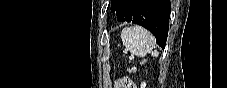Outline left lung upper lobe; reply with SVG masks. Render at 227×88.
<instances>
[{
  "label": "left lung upper lobe",
  "mask_w": 227,
  "mask_h": 88,
  "mask_svg": "<svg viewBox=\"0 0 227 88\" xmlns=\"http://www.w3.org/2000/svg\"><path fill=\"white\" fill-rule=\"evenodd\" d=\"M119 0H112L111 1V11L114 12L117 10V5H118Z\"/></svg>",
  "instance_id": "1"
}]
</instances>
